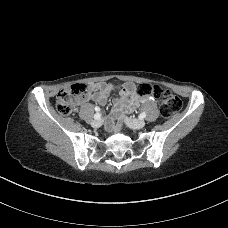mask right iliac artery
<instances>
[{"label": "right iliac artery", "mask_w": 228, "mask_h": 228, "mask_svg": "<svg viewBox=\"0 0 228 228\" xmlns=\"http://www.w3.org/2000/svg\"><path fill=\"white\" fill-rule=\"evenodd\" d=\"M95 110H96V111H99L100 109L96 107ZM100 117H101V114L98 113V112L94 115V118H95V119H100Z\"/></svg>", "instance_id": "obj_1"}]
</instances>
